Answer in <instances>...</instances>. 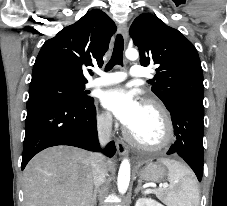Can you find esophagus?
I'll return each mask as SVG.
<instances>
[{
	"label": "esophagus",
	"mask_w": 227,
	"mask_h": 206,
	"mask_svg": "<svg viewBox=\"0 0 227 206\" xmlns=\"http://www.w3.org/2000/svg\"><path fill=\"white\" fill-rule=\"evenodd\" d=\"M119 31H120V33L122 34L123 38L126 41L127 37H128V25H127V23H122L119 26ZM116 146H117V151H118L120 156H125L127 154V147H126L125 143L122 140L117 139Z\"/></svg>",
	"instance_id": "esophagus-1"
}]
</instances>
